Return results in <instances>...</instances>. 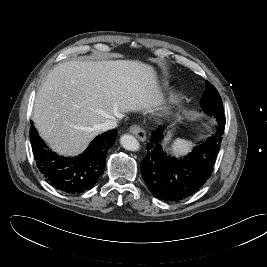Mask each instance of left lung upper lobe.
<instances>
[{"label": "left lung upper lobe", "instance_id": "obj_1", "mask_svg": "<svg viewBox=\"0 0 267 267\" xmlns=\"http://www.w3.org/2000/svg\"><path fill=\"white\" fill-rule=\"evenodd\" d=\"M200 106L205 113L217 118L224 115L221 97L216 88L208 81H206V89L201 98Z\"/></svg>", "mask_w": 267, "mask_h": 267}]
</instances>
